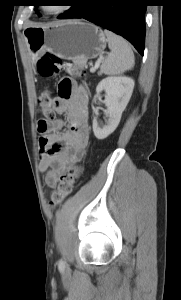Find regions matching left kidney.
<instances>
[{"label":"left kidney","mask_w":181,"mask_h":300,"mask_svg":"<svg viewBox=\"0 0 181 300\" xmlns=\"http://www.w3.org/2000/svg\"><path fill=\"white\" fill-rule=\"evenodd\" d=\"M133 88L134 80L126 76H111L99 82L94 100L100 98V93L105 91L104 103L107 107L108 120L106 125L99 126L97 119L94 118L93 132L97 139H105L117 128L121 115L131 98Z\"/></svg>","instance_id":"obj_1"}]
</instances>
